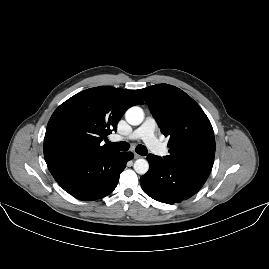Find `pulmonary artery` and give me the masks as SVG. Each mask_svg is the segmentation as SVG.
Segmentation results:
<instances>
[{"instance_id": "1", "label": "pulmonary artery", "mask_w": 269, "mask_h": 269, "mask_svg": "<svg viewBox=\"0 0 269 269\" xmlns=\"http://www.w3.org/2000/svg\"><path fill=\"white\" fill-rule=\"evenodd\" d=\"M157 132V122L152 116H149L140 127L133 130L125 138L130 140H142L149 149H154V153L158 157H165L167 155V148L163 144H159ZM117 139L123 138L117 137Z\"/></svg>"}]
</instances>
